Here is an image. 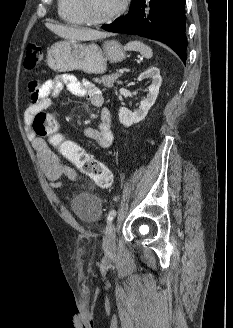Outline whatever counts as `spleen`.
Returning <instances> with one entry per match:
<instances>
[{"mask_svg": "<svg viewBox=\"0 0 233 328\" xmlns=\"http://www.w3.org/2000/svg\"><path fill=\"white\" fill-rule=\"evenodd\" d=\"M128 51H138L143 57L149 59L152 57V49L140 41H131L124 47Z\"/></svg>", "mask_w": 233, "mask_h": 328, "instance_id": "spleen-1", "label": "spleen"}]
</instances>
